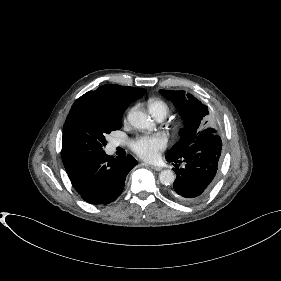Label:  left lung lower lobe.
<instances>
[{
  "label": "left lung lower lobe",
  "mask_w": 281,
  "mask_h": 281,
  "mask_svg": "<svg viewBox=\"0 0 281 281\" xmlns=\"http://www.w3.org/2000/svg\"><path fill=\"white\" fill-rule=\"evenodd\" d=\"M222 142L218 135L200 139L182 158L167 159L168 162L185 163L184 168L174 169L176 180L171 193L177 199L192 203L204 197L212 188L221 156Z\"/></svg>",
  "instance_id": "left-lung-lower-lobe-1"
}]
</instances>
